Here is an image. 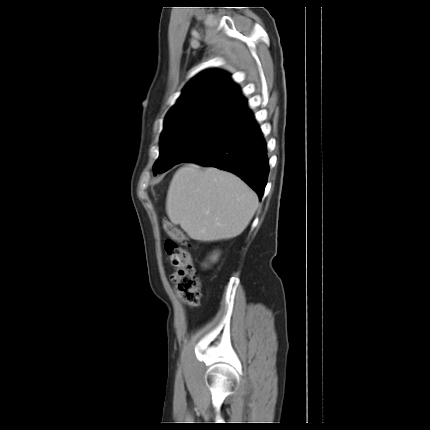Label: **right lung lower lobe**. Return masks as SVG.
I'll return each mask as SVG.
<instances>
[{
	"instance_id": "1",
	"label": "right lung lower lobe",
	"mask_w": 430,
	"mask_h": 430,
	"mask_svg": "<svg viewBox=\"0 0 430 430\" xmlns=\"http://www.w3.org/2000/svg\"><path fill=\"white\" fill-rule=\"evenodd\" d=\"M266 152V143L249 111L227 132L185 162L232 172L245 181L261 199L269 172Z\"/></svg>"
}]
</instances>
